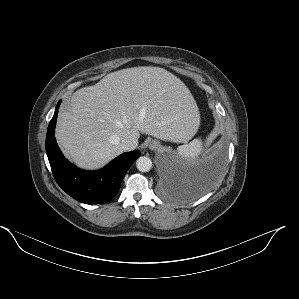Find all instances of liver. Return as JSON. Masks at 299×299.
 <instances>
[{"label":"liver","mask_w":299,"mask_h":299,"mask_svg":"<svg viewBox=\"0 0 299 299\" xmlns=\"http://www.w3.org/2000/svg\"><path fill=\"white\" fill-rule=\"evenodd\" d=\"M200 123L190 90L160 67L141 66L106 75L73 93L60 112L55 137L72 161L98 169L120 155V141L140 133L187 142Z\"/></svg>","instance_id":"1"}]
</instances>
